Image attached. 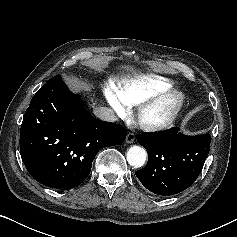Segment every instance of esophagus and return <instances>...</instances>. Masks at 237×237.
I'll list each match as a JSON object with an SVG mask.
<instances>
[{"mask_svg": "<svg viewBox=\"0 0 237 237\" xmlns=\"http://www.w3.org/2000/svg\"><path fill=\"white\" fill-rule=\"evenodd\" d=\"M134 140H135V135L133 133H128L126 136V142L128 144H131L134 142Z\"/></svg>", "mask_w": 237, "mask_h": 237, "instance_id": "1", "label": "esophagus"}]
</instances>
